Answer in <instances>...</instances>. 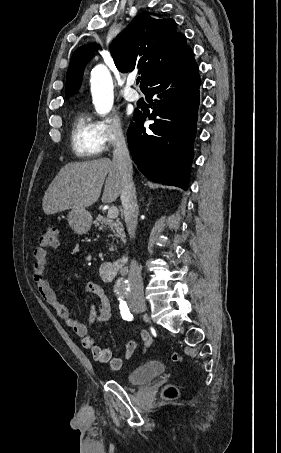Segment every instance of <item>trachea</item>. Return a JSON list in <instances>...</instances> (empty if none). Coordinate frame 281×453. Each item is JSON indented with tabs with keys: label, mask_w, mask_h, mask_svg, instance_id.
Instances as JSON below:
<instances>
[{
	"label": "trachea",
	"mask_w": 281,
	"mask_h": 453,
	"mask_svg": "<svg viewBox=\"0 0 281 453\" xmlns=\"http://www.w3.org/2000/svg\"><path fill=\"white\" fill-rule=\"evenodd\" d=\"M139 82H140V77H137L136 84L138 85Z\"/></svg>",
	"instance_id": "3493384b"
}]
</instances>
